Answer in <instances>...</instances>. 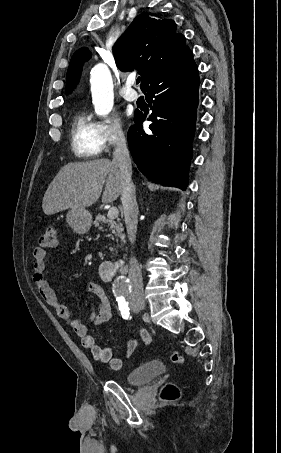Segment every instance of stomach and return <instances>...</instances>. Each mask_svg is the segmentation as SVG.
Returning a JSON list of instances; mask_svg holds the SVG:
<instances>
[{
    "label": "stomach",
    "instance_id": "stomach-1",
    "mask_svg": "<svg viewBox=\"0 0 281 453\" xmlns=\"http://www.w3.org/2000/svg\"><path fill=\"white\" fill-rule=\"evenodd\" d=\"M66 222L78 235L88 233L92 224V214L86 208H71L66 214Z\"/></svg>",
    "mask_w": 281,
    "mask_h": 453
}]
</instances>
